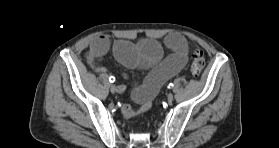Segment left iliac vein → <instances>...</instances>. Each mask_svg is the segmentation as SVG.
<instances>
[{"label":"left iliac vein","mask_w":279,"mask_h":148,"mask_svg":"<svg viewBox=\"0 0 279 148\" xmlns=\"http://www.w3.org/2000/svg\"><path fill=\"white\" fill-rule=\"evenodd\" d=\"M173 99H174V95H173L172 93H169V94L167 95V100H168V102H172Z\"/></svg>","instance_id":"left-iliac-vein-1"}]
</instances>
